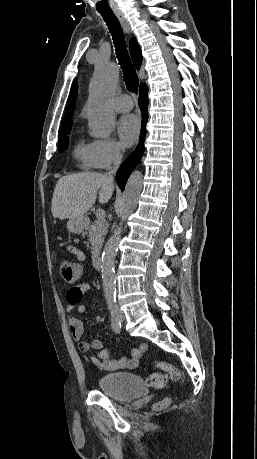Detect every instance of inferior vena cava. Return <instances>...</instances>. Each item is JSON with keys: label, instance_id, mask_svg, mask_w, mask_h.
I'll return each mask as SVG.
<instances>
[{"label": "inferior vena cava", "instance_id": "1", "mask_svg": "<svg viewBox=\"0 0 257 459\" xmlns=\"http://www.w3.org/2000/svg\"><path fill=\"white\" fill-rule=\"evenodd\" d=\"M121 161H122V153H121L120 149H117L115 151L114 158H113V165H114L113 169H111L109 172L106 173L107 178L111 182H113L114 175L116 174V171H117L118 167L120 166Z\"/></svg>", "mask_w": 257, "mask_h": 459}]
</instances>
